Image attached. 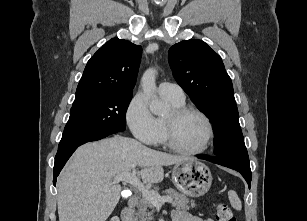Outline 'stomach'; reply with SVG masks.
I'll use <instances>...</instances> for the list:
<instances>
[{
	"instance_id": "stomach-1",
	"label": "stomach",
	"mask_w": 307,
	"mask_h": 221,
	"mask_svg": "<svg viewBox=\"0 0 307 221\" xmlns=\"http://www.w3.org/2000/svg\"><path fill=\"white\" fill-rule=\"evenodd\" d=\"M212 179L209 167L194 159L177 163L172 170L174 185L190 197L204 195L210 189Z\"/></svg>"
}]
</instances>
